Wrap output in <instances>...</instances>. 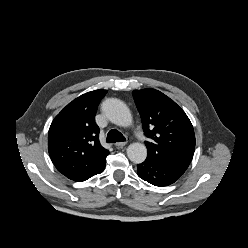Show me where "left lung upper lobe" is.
<instances>
[{
	"instance_id": "obj_1",
	"label": "left lung upper lobe",
	"mask_w": 248,
	"mask_h": 248,
	"mask_svg": "<svg viewBox=\"0 0 248 248\" xmlns=\"http://www.w3.org/2000/svg\"><path fill=\"white\" fill-rule=\"evenodd\" d=\"M141 115L147 158L186 170L195 150V134L185 112L168 96L155 89L132 92Z\"/></svg>"
}]
</instances>
